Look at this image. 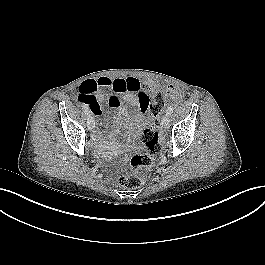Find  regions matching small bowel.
Listing matches in <instances>:
<instances>
[{
    "mask_svg": "<svg viewBox=\"0 0 265 265\" xmlns=\"http://www.w3.org/2000/svg\"><path fill=\"white\" fill-rule=\"evenodd\" d=\"M154 88V83H142L136 77L114 79L99 77L96 80L84 82L79 88L76 100L88 107L90 112L96 117L102 114V105L106 103L110 107L118 109L119 122L128 123L131 119L127 115V108L121 102L132 104L137 113H147L151 107L152 97L145 90L152 91ZM107 90H112L116 95L107 94ZM95 140L98 143L104 142V136L98 129L95 131Z\"/></svg>",
    "mask_w": 265,
    "mask_h": 265,
    "instance_id": "1",
    "label": "small bowel"
}]
</instances>
